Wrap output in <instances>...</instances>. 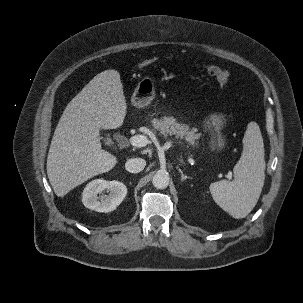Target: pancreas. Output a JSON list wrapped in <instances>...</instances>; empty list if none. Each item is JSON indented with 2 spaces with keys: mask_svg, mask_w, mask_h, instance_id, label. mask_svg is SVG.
<instances>
[{
  "mask_svg": "<svg viewBox=\"0 0 303 303\" xmlns=\"http://www.w3.org/2000/svg\"><path fill=\"white\" fill-rule=\"evenodd\" d=\"M152 125L156 130L164 136L174 135L176 138L184 139L192 146H197L196 139L199 134L191 130L190 127L183 123H178L174 117H163L161 119H153Z\"/></svg>",
  "mask_w": 303,
  "mask_h": 303,
  "instance_id": "cf45deb5",
  "label": "pancreas"
}]
</instances>
